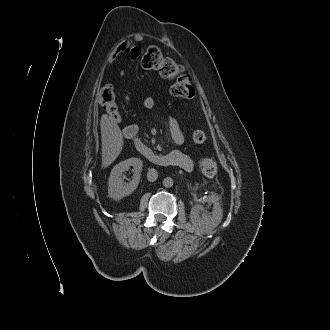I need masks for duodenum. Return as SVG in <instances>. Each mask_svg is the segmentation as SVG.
<instances>
[{
    "label": "duodenum",
    "instance_id": "1",
    "mask_svg": "<svg viewBox=\"0 0 330 330\" xmlns=\"http://www.w3.org/2000/svg\"><path fill=\"white\" fill-rule=\"evenodd\" d=\"M124 135L127 139H133L136 136L135 128L130 126L126 127L124 130ZM137 147L144 157L152 164L160 167L170 166L165 155L155 153L141 142L137 143Z\"/></svg>",
    "mask_w": 330,
    "mask_h": 330
}]
</instances>
